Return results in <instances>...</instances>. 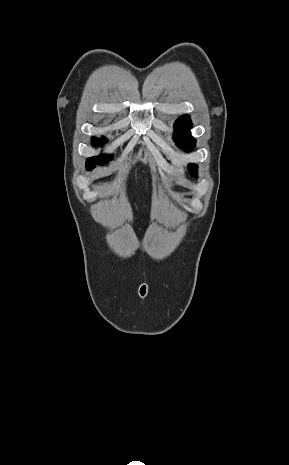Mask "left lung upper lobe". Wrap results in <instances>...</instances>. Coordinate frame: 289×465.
Instances as JSON below:
<instances>
[{"label":"left lung upper lobe","mask_w":289,"mask_h":465,"mask_svg":"<svg viewBox=\"0 0 289 465\" xmlns=\"http://www.w3.org/2000/svg\"><path fill=\"white\" fill-rule=\"evenodd\" d=\"M175 127V136L174 140L179 147H182L186 151H191L196 143V140L190 136V129L192 128V123L188 115L181 116L174 124ZM189 171L192 176L197 174V165L190 164L188 166Z\"/></svg>","instance_id":"left-lung-upper-lobe-1"}]
</instances>
